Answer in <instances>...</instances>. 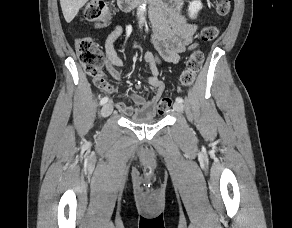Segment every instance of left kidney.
<instances>
[{"label":"left kidney","mask_w":292,"mask_h":228,"mask_svg":"<svg viewBox=\"0 0 292 228\" xmlns=\"http://www.w3.org/2000/svg\"><path fill=\"white\" fill-rule=\"evenodd\" d=\"M202 9V3L200 0H194L190 2L188 12L191 18H195L199 10Z\"/></svg>","instance_id":"left-kidney-1"}]
</instances>
